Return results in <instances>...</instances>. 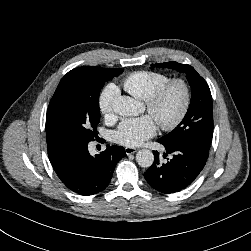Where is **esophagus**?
<instances>
[{"label":"esophagus","instance_id":"1","mask_svg":"<svg viewBox=\"0 0 251 251\" xmlns=\"http://www.w3.org/2000/svg\"><path fill=\"white\" fill-rule=\"evenodd\" d=\"M138 149L133 148V147H126L125 152L127 155L134 154Z\"/></svg>","mask_w":251,"mask_h":251}]
</instances>
